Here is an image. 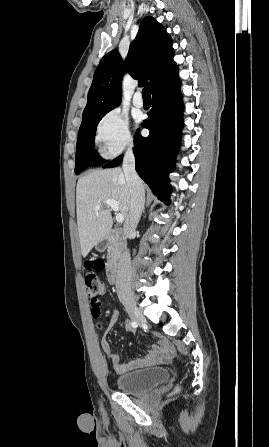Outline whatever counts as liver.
Wrapping results in <instances>:
<instances>
[{
	"mask_svg": "<svg viewBox=\"0 0 269 447\" xmlns=\"http://www.w3.org/2000/svg\"><path fill=\"white\" fill-rule=\"evenodd\" d=\"M105 200H116L120 214L127 220L131 198L122 168L89 170L77 182V225L83 257L107 237L113 225L111 206L105 204ZM95 206H100L98 212Z\"/></svg>",
	"mask_w": 269,
	"mask_h": 447,
	"instance_id": "obj_1",
	"label": "liver"
}]
</instances>
